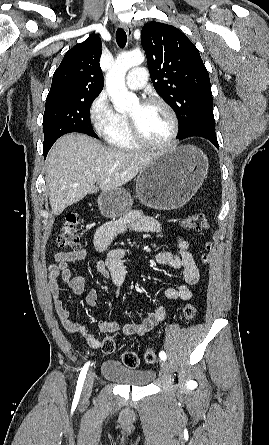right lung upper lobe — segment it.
Segmentation results:
<instances>
[{
    "mask_svg": "<svg viewBox=\"0 0 269 445\" xmlns=\"http://www.w3.org/2000/svg\"><path fill=\"white\" fill-rule=\"evenodd\" d=\"M101 52V39L96 34L66 52L54 72L48 96L100 94L104 85Z\"/></svg>",
    "mask_w": 269,
    "mask_h": 445,
    "instance_id": "1",
    "label": "right lung upper lobe"
}]
</instances>
